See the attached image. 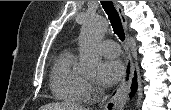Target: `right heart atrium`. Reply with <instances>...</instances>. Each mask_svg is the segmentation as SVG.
<instances>
[{"label": "right heart atrium", "mask_w": 171, "mask_h": 110, "mask_svg": "<svg viewBox=\"0 0 171 110\" xmlns=\"http://www.w3.org/2000/svg\"><path fill=\"white\" fill-rule=\"evenodd\" d=\"M86 87H87V93H88V96L90 94H92L94 91H95V88L93 87V85L89 82H86Z\"/></svg>", "instance_id": "1"}]
</instances>
